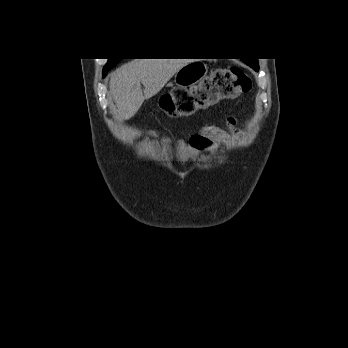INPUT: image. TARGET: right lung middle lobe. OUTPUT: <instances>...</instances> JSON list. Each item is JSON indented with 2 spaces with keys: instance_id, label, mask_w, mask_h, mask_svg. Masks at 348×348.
Listing matches in <instances>:
<instances>
[{
  "instance_id": "1",
  "label": "right lung middle lobe",
  "mask_w": 348,
  "mask_h": 348,
  "mask_svg": "<svg viewBox=\"0 0 348 348\" xmlns=\"http://www.w3.org/2000/svg\"><path fill=\"white\" fill-rule=\"evenodd\" d=\"M121 59H109L108 63L104 66L103 70H110L113 68Z\"/></svg>"
}]
</instances>
